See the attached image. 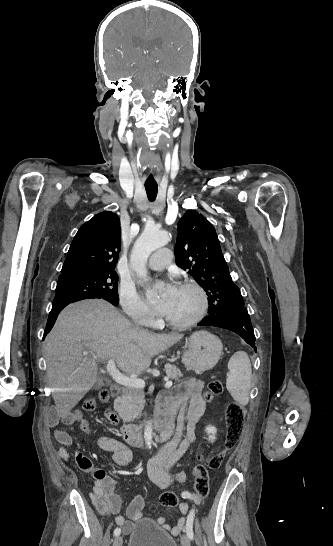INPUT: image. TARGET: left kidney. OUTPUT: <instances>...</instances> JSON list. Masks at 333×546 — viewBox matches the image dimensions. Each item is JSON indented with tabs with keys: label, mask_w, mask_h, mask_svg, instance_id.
<instances>
[{
	"label": "left kidney",
	"mask_w": 333,
	"mask_h": 546,
	"mask_svg": "<svg viewBox=\"0 0 333 546\" xmlns=\"http://www.w3.org/2000/svg\"><path fill=\"white\" fill-rule=\"evenodd\" d=\"M205 431L209 434V441L213 442L216 439V428L214 426H207Z\"/></svg>",
	"instance_id": "5707ae66"
}]
</instances>
